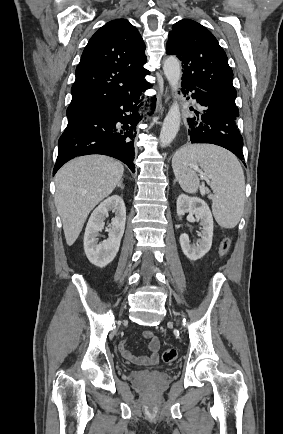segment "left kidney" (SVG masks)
I'll use <instances>...</instances> for the list:
<instances>
[{
    "label": "left kidney",
    "instance_id": "1",
    "mask_svg": "<svg viewBox=\"0 0 283 434\" xmlns=\"http://www.w3.org/2000/svg\"><path fill=\"white\" fill-rule=\"evenodd\" d=\"M195 215L202 226L196 246L190 244L189 236L186 233L180 235V245L186 257L192 261L202 258L211 248L213 238V217L207 203L198 197H190L181 194L177 199V215L179 219L185 213Z\"/></svg>",
    "mask_w": 283,
    "mask_h": 434
}]
</instances>
